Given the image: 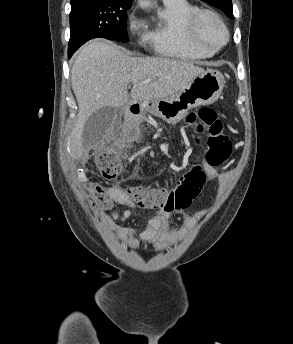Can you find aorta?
<instances>
[{"label": "aorta", "instance_id": "obj_1", "mask_svg": "<svg viewBox=\"0 0 293 344\" xmlns=\"http://www.w3.org/2000/svg\"><path fill=\"white\" fill-rule=\"evenodd\" d=\"M139 4L143 7L149 6V4L145 0H139Z\"/></svg>", "mask_w": 293, "mask_h": 344}]
</instances>
